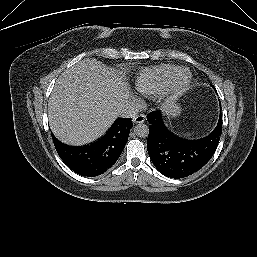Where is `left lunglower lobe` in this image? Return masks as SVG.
<instances>
[{
	"instance_id": "obj_1",
	"label": "left lung lower lobe",
	"mask_w": 257,
	"mask_h": 257,
	"mask_svg": "<svg viewBox=\"0 0 257 257\" xmlns=\"http://www.w3.org/2000/svg\"><path fill=\"white\" fill-rule=\"evenodd\" d=\"M220 108H221V103ZM147 150L154 166L170 178L187 177L201 169L213 156L222 134V116L216 127L200 139H185L171 131L160 111L147 114Z\"/></svg>"
}]
</instances>
